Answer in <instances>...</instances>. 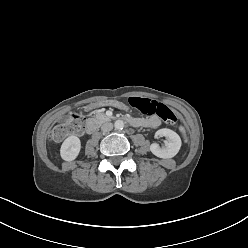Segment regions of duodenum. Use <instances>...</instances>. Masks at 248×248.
<instances>
[{"instance_id": "duodenum-1", "label": "duodenum", "mask_w": 248, "mask_h": 248, "mask_svg": "<svg viewBox=\"0 0 248 248\" xmlns=\"http://www.w3.org/2000/svg\"><path fill=\"white\" fill-rule=\"evenodd\" d=\"M126 121L133 126H137L140 124V121L138 119L127 118ZM97 125L98 123L96 121H89L86 124L85 131L88 134H91L96 130Z\"/></svg>"}]
</instances>
